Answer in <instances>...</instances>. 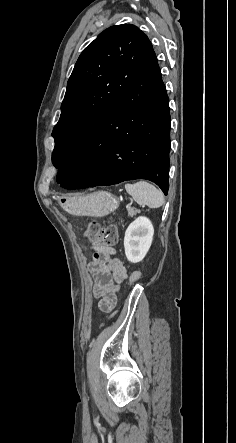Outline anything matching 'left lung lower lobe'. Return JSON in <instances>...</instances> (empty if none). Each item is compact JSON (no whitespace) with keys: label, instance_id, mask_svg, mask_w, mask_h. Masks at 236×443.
<instances>
[{"label":"left lung lower lobe","instance_id":"obj_1","mask_svg":"<svg viewBox=\"0 0 236 443\" xmlns=\"http://www.w3.org/2000/svg\"><path fill=\"white\" fill-rule=\"evenodd\" d=\"M170 124L169 100L153 53L58 171L57 182L73 190L147 179L167 195Z\"/></svg>","mask_w":236,"mask_h":443}]
</instances>
